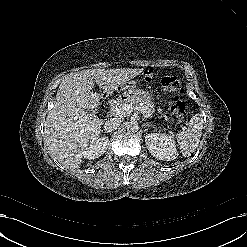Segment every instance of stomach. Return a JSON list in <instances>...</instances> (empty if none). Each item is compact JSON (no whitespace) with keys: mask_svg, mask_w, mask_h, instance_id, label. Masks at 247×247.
I'll return each mask as SVG.
<instances>
[{"mask_svg":"<svg viewBox=\"0 0 247 247\" xmlns=\"http://www.w3.org/2000/svg\"><path fill=\"white\" fill-rule=\"evenodd\" d=\"M136 88V82L135 81H128L125 82L123 85L119 86V89L126 90L123 94L125 98L133 96L137 90ZM145 95L151 100L152 99V94L151 93H145Z\"/></svg>","mask_w":247,"mask_h":247,"instance_id":"obj_1","label":"stomach"}]
</instances>
